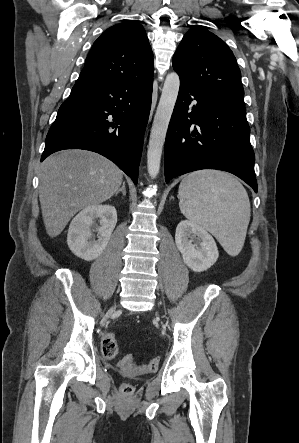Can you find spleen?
Masks as SVG:
<instances>
[{
  "label": "spleen",
  "instance_id": "obj_1",
  "mask_svg": "<svg viewBox=\"0 0 299 443\" xmlns=\"http://www.w3.org/2000/svg\"><path fill=\"white\" fill-rule=\"evenodd\" d=\"M178 193L182 214L211 232L229 255L239 254L250 220L242 184L227 173L204 170L186 176Z\"/></svg>",
  "mask_w": 299,
  "mask_h": 443
}]
</instances>
